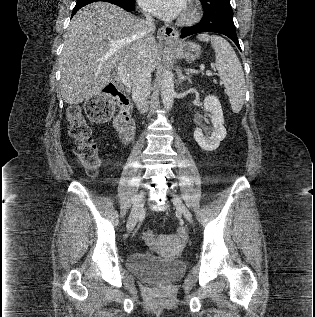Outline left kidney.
Returning <instances> with one entry per match:
<instances>
[{
	"label": "left kidney",
	"instance_id": "left-kidney-1",
	"mask_svg": "<svg viewBox=\"0 0 315 317\" xmlns=\"http://www.w3.org/2000/svg\"><path fill=\"white\" fill-rule=\"evenodd\" d=\"M204 109L210 112V118L213 125L210 136H205L200 128L194 131V139L198 145L206 151H213L217 149L226 137V129L224 127V116L218 98L214 95H208L204 99Z\"/></svg>",
	"mask_w": 315,
	"mask_h": 317
}]
</instances>
